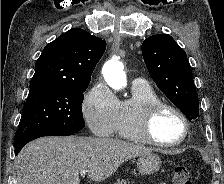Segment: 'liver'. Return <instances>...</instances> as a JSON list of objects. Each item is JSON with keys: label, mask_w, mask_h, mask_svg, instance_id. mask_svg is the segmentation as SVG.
I'll return each mask as SVG.
<instances>
[{"label": "liver", "mask_w": 224, "mask_h": 184, "mask_svg": "<svg viewBox=\"0 0 224 184\" xmlns=\"http://www.w3.org/2000/svg\"><path fill=\"white\" fill-rule=\"evenodd\" d=\"M146 147L112 138L41 137L15 160L18 184H80L81 169L101 182L125 161L151 153Z\"/></svg>", "instance_id": "obj_1"}]
</instances>
